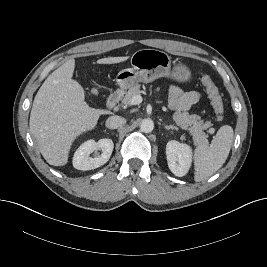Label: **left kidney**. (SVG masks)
<instances>
[{
	"label": "left kidney",
	"instance_id": "left-kidney-1",
	"mask_svg": "<svg viewBox=\"0 0 267 267\" xmlns=\"http://www.w3.org/2000/svg\"><path fill=\"white\" fill-rule=\"evenodd\" d=\"M168 167L178 177L186 175L192 164V149L185 143L169 141L166 145Z\"/></svg>",
	"mask_w": 267,
	"mask_h": 267
}]
</instances>
